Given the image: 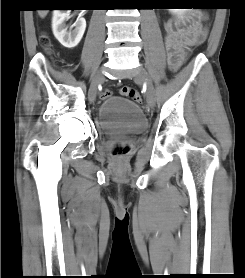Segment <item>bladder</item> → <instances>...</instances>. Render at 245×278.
I'll list each match as a JSON object with an SVG mask.
<instances>
[{
	"instance_id": "1",
	"label": "bladder",
	"mask_w": 245,
	"mask_h": 278,
	"mask_svg": "<svg viewBox=\"0 0 245 278\" xmlns=\"http://www.w3.org/2000/svg\"><path fill=\"white\" fill-rule=\"evenodd\" d=\"M99 126L105 135H133L147 128L140 106L128 98L110 96L98 110Z\"/></svg>"
}]
</instances>
